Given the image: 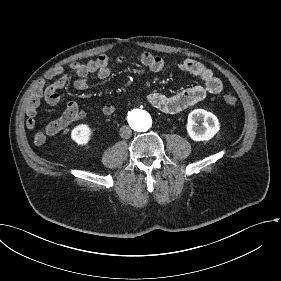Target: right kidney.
Wrapping results in <instances>:
<instances>
[{"mask_svg": "<svg viewBox=\"0 0 281 281\" xmlns=\"http://www.w3.org/2000/svg\"><path fill=\"white\" fill-rule=\"evenodd\" d=\"M92 128L88 124H80L71 131V139L78 146H86L92 139Z\"/></svg>", "mask_w": 281, "mask_h": 281, "instance_id": "1", "label": "right kidney"}]
</instances>
